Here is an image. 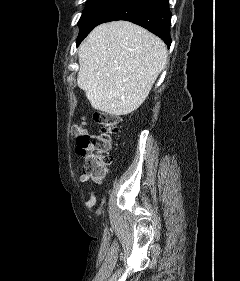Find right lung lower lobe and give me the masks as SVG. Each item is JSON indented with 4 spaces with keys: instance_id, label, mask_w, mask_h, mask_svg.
I'll return each instance as SVG.
<instances>
[{
    "instance_id": "right-lung-lower-lobe-1",
    "label": "right lung lower lobe",
    "mask_w": 240,
    "mask_h": 281,
    "mask_svg": "<svg viewBox=\"0 0 240 281\" xmlns=\"http://www.w3.org/2000/svg\"><path fill=\"white\" fill-rule=\"evenodd\" d=\"M170 19L169 0H119L97 25L116 20L130 21L159 36L169 47Z\"/></svg>"
}]
</instances>
